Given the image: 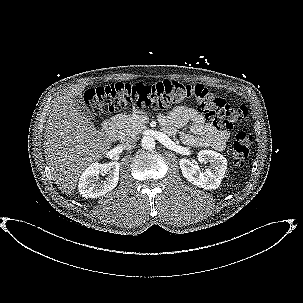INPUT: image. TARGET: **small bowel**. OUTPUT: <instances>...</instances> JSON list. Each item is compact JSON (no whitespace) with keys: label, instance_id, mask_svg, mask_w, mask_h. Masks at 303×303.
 Wrapping results in <instances>:
<instances>
[{"label":"small bowel","instance_id":"1","mask_svg":"<svg viewBox=\"0 0 303 303\" xmlns=\"http://www.w3.org/2000/svg\"><path fill=\"white\" fill-rule=\"evenodd\" d=\"M159 122L167 134L173 135L178 129L190 124L192 133L180 132L183 143L197 147H211L223 151L229 139V132L214 123L206 122L204 116L194 108L177 106L168 114L160 115Z\"/></svg>","mask_w":303,"mask_h":303}]
</instances>
